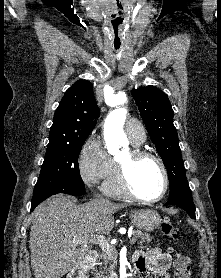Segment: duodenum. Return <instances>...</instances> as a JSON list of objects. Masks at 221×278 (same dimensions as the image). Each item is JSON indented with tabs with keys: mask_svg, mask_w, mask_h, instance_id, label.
Returning a JSON list of instances; mask_svg holds the SVG:
<instances>
[{
	"mask_svg": "<svg viewBox=\"0 0 221 278\" xmlns=\"http://www.w3.org/2000/svg\"><path fill=\"white\" fill-rule=\"evenodd\" d=\"M96 259V252L91 251L86 259L78 263L69 273L67 278H87V270Z\"/></svg>",
	"mask_w": 221,
	"mask_h": 278,
	"instance_id": "1",
	"label": "duodenum"
}]
</instances>
